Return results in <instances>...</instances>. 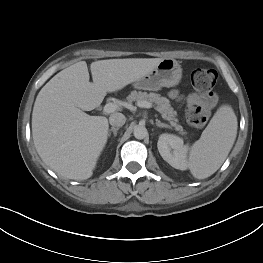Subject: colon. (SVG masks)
I'll return each mask as SVG.
<instances>
[{
    "label": "colon",
    "instance_id": "5ec220e1",
    "mask_svg": "<svg viewBox=\"0 0 263 263\" xmlns=\"http://www.w3.org/2000/svg\"><path fill=\"white\" fill-rule=\"evenodd\" d=\"M217 77L215 70L207 68H197L191 73V84L201 99L187 109V121L194 128L203 127L209 119L210 107L215 103L213 89Z\"/></svg>",
    "mask_w": 263,
    "mask_h": 263
}]
</instances>
